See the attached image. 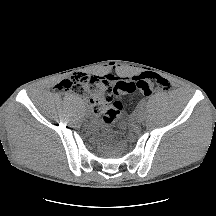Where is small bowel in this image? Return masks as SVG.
Instances as JSON below:
<instances>
[{"instance_id":"c3829d8e","label":"small bowel","mask_w":216,"mask_h":216,"mask_svg":"<svg viewBox=\"0 0 216 216\" xmlns=\"http://www.w3.org/2000/svg\"><path fill=\"white\" fill-rule=\"evenodd\" d=\"M105 77H106L110 82H113V83H115V82H117V81L123 79V78H120V77L115 76V75H113V74H107ZM92 108H93V106H92ZM93 111H94V113L98 114V112H96V111L94 110V108H93Z\"/></svg>"}]
</instances>
